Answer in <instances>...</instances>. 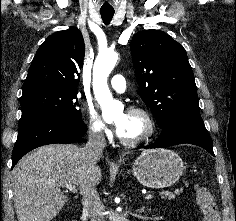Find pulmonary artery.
<instances>
[{"instance_id":"pulmonary-artery-1","label":"pulmonary artery","mask_w":236,"mask_h":221,"mask_svg":"<svg viewBox=\"0 0 236 221\" xmlns=\"http://www.w3.org/2000/svg\"><path fill=\"white\" fill-rule=\"evenodd\" d=\"M110 85L118 93L126 90V80L121 74L114 75L110 80Z\"/></svg>"}]
</instances>
